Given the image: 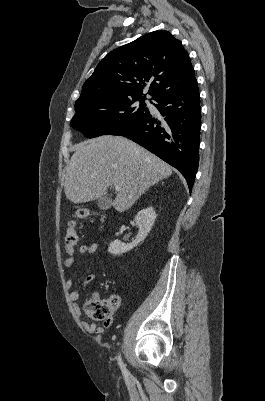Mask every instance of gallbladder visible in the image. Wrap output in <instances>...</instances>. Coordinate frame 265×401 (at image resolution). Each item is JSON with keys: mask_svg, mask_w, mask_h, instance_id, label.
<instances>
[{"mask_svg": "<svg viewBox=\"0 0 265 401\" xmlns=\"http://www.w3.org/2000/svg\"><path fill=\"white\" fill-rule=\"evenodd\" d=\"M112 203V198L110 196H101V198H98V207L99 209H102V211H107V209H110Z\"/></svg>", "mask_w": 265, "mask_h": 401, "instance_id": "bac80fb5", "label": "gallbladder"}]
</instances>
